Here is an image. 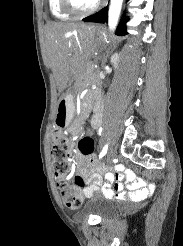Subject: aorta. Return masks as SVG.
Returning <instances> with one entry per match:
<instances>
[{
  "mask_svg": "<svg viewBox=\"0 0 183 246\" xmlns=\"http://www.w3.org/2000/svg\"><path fill=\"white\" fill-rule=\"evenodd\" d=\"M123 0H110V7L108 12V25L111 31L117 27Z\"/></svg>",
  "mask_w": 183,
  "mask_h": 246,
  "instance_id": "aorta-1",
  "label": "aorta"
}]
</instances>
